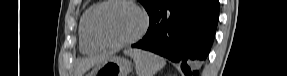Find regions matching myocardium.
I'll use <instances>...</instances> for the list:
<instances>
[{"instance_id": "obj_1", "label": "myocardium", "mask_w": 287, "mask_h": 76, "mask_svg": "<svg viewBox=\"0 0 287 76\" xmlns=\"http://www.w3.org/2000/svg\"><path fill=\"white\" fill-rule=\"evenodd\" d=\"M114 3H125L133 7L141 15L142 24L138 32L132 37L121 40V41H117V42H109L101 38L100 35L98 34L96 30V21L101 11L105 7L111 4H114ZM148 27H149V16L147 12L140 5H138L136 2L132 0H106V1L100 2L96 6V8L93 10V12L91 13L90 18H89V24H88L89 34L92 40L101 48H106V49L121 48V47H125L127 45L137 42L145 35V33L148 30Z\"/></svg>"}]
</instances>
